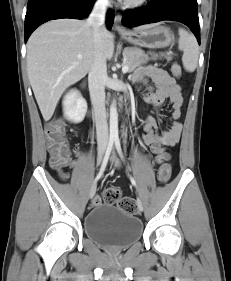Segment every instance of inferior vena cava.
I'll list each match as a JSON object with an SVG mask.
<instances>
[{
    "instance_id": "1",
    "label": "inferior vena cava",
    "mask_w": 231,
    "mask_h": 281,
    "mask_svg": "<svg viewBox=\"0 0 231 281\" xmlns=\"http://www.w3.org/2000/svg\"><path fill=\"white\" fill-rule=\"evenodd\" d=\"M108 0H97L89 15L88 23L93 28L96 54L89 71L88 83L91 102L94 109L97 143L99 147H106L109 140L107 115L105 109V84L107 81L106 59L100 52L104 31V22Z\"/></svg>"
}]
</instances>
